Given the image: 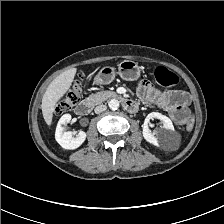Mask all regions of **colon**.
<instances>
[{
	"mask_svg": "<svg viewBox=\"0 0 224 224\" xmlns=\"http://www.w3.org/2000/svg\"><path fill=\"white\" fill-rule=\"evenodd\" d=\"M155 79L160 85L167 87L175 86L179 82L178 76L164 66H159L155 69ZM78 97V87H74L58 102L56 112L64 113L67 110L71 109L77 103ZM179 118H186L187 130H190L192 128L190 113L187 109L183 111Z\"/></svg>",
	"mask_w": 224,
	"mask_h": 224,
	"instance_id": "obj_1",
	"label": "colon"
}]
</instances>
